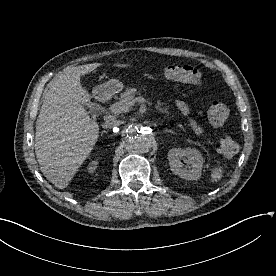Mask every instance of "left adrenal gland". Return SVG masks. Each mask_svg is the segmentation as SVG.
<instances>
[{
    "mask_svg": "<svg viewBox=\"0 0 276 276\" xmlns=\"http://www.w3.org/2000/svg\"><path fill=\"white\" fill-rule=\"evenodd\" d=\"M165 132H168V133H174L173 131H171V130H165Z\"/></svg>",
    "mask_w": 276,
    "mask_h": 276,
    "instance_id": "left-adrenal-gland-1",
    "label": "left adrenal gland"
}]
</instances>
